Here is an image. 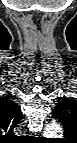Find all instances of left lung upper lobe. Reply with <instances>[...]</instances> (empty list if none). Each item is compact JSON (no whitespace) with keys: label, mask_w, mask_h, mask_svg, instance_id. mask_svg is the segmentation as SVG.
Returning a JSON list of instances; mask_svg holds the SVG:
<instances>
[{"label":"left lung upper lobe","mask_w":77,"mask_h":143,"mask_svg":"<svg viewBox=\"0 0 77 143\" xmlns=\"http://www.w3.org/2000/svg\"><path fill=\"white\" fill-rule=\"evenodd\" d=\"M52 117L58 119L64 126L66 138L75 135L77 129V101L63 99L53 109Z\"/></svg>","instance_id":"left-lung-upper-lobe-1"}]
</instances>
